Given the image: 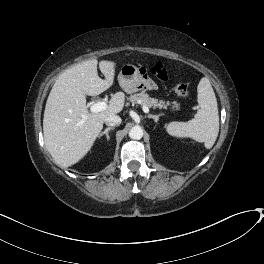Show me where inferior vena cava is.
<instances>
[{
	"label": "inferior vena cava",
	"mask_w": 264,
	"mask_h": 264,
	"mask_svg": "<svg viewBox=\"0 0 264 264\" xmlns=\"http://www.w3.org/2000/svg\"><path fill=\"white\" fill-rule=\"evenodd\" d=\"M121 118L118 115H112L105 119V123L108 126L114 127L121 124Z\"/></svg>",
	"instance_id": "inferior-vena-cava-1"
}]
</instances>
